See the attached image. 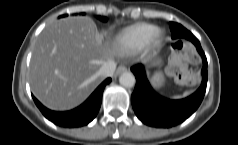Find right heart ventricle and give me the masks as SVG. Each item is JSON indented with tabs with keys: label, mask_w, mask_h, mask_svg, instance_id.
<instances>
[{
	"label": "right heart ventricle",
	"mask_w": 238,
	"mask_h": 145,
	"mask_svg": "<svg viewBox=\"0 0 238 145\" xmlns=\"http://www.w3.org/2000/svg\"><path fill=\"white\" fill-rule=\"evenodd\" d=\"M157 29L155 25L148 23L128 27L115 37V46L122 52L141 49L153 39Z\"/></svg>",
	"instance_id": "1"
}]
</instances>
